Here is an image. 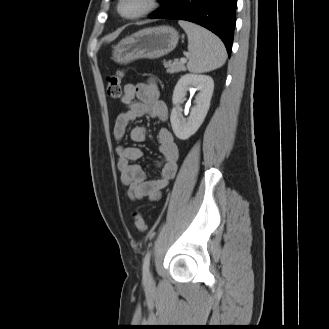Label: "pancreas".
Returning <instances> with one entry per match:
<instances>
[{"instance_id": "1", "label": "pancreas", "mask_w": 329, "mask_h": 329, "mask_svg": "<svg viewBox=\"0 0 329 329\" xmlns=\"http://www.w3.org/2000/svg\"><path fill=\"white\" fill-rule=\"evenodd\" d=\"M164 67L166 68L167 73H170V74L186 70L184 63L179 62V61L166 62V63H164Z\"/></svg>"}]
</instances>
